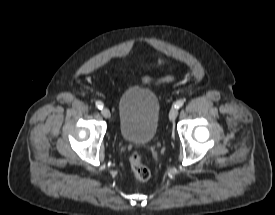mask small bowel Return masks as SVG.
Returning a JSON list of instances; mask_svg holds the SVG:
<instances>
[{
    "mask_svg": "<svg viewBox=\"0 0 275 215\" xmlns=\"http://www.w3.org/2000/svg\"><path fill=\"white\" fill-rule=\"evenodd\" d=\"M157 63H158L159 66H170L171 65V62L169 60H166V59H160V60H158ZM171 79H172L171 77H166V78L160 80L158 83L169 81ZM142 83L144 85H152V84H154V81L150 76H144L142 78Z\"/></svg>",
    "mask_w": 275,
    "mask_h": 215,
    "instance_id": "small-bowel-1",
    "label": "small bowel"
}]
</instances>
